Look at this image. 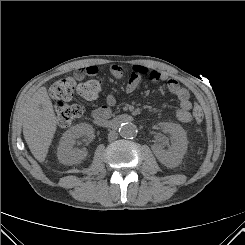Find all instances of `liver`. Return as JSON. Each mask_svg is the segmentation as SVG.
<instances>
[{
  "label": "liver",
  "mask_w": 245,
  "mask_h": 245,
  "mask_svg": "<svg viewBox=\"0 0 245 245\" xmlns=\"http://www.w3.org/2000/svg\"><path fill=\"white\" fill-rule=\"evenodd\" d=\"M23 135L33 154L44 162L57 128V119L46 87L39 88L24 110Z\"/></svg>",
  "instance_id": "1"
}]
</instances>
